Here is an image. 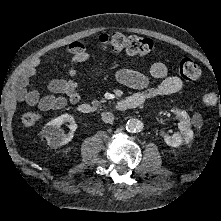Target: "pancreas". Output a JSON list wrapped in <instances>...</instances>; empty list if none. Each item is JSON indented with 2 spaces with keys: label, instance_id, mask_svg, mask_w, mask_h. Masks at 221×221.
<instances>
[{
  "label": "pancreas",
  "instance_id": "cf45deb5",
  "mask_svg": "<svg viewBox=\"0 0 221 221\" xmlns=\"http://www.w3.org/2000/svg\"><path fill=\"white\" fill-rule=\"evenodd\" d=\"M105 102L104 99L102 100H93L92 101V105L95 106L96 108H101L102 106V103Z\"/></svg>",
  "mask_w": 221,
  "mask_h": 221
}]
</instances>
